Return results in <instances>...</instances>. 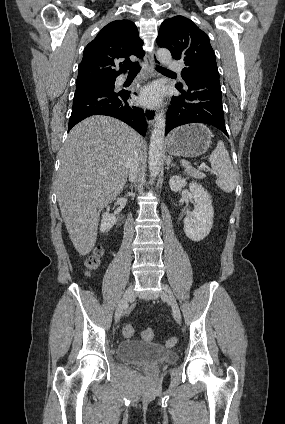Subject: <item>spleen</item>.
Listing matches in <instances>:
<instances>
[{"label":"spleen","mask_w":285,"mask_h":424,"mask_svg":"<svg viewBox=\"0 0 285 424\" xmlns=\"http://www.w3.org/2000/svg\"><path fill=\"white\" fill-rule=\"evenodd\" d=\"M212 170L218 174L216 184L226 193H231L236 187L237 177L231 163L229 153L223 143L219 140L216 149L208 157ZM183 165L187 163L182 161Z\"/></svg>","instance_id":"spleen-1"}]
</instances>
